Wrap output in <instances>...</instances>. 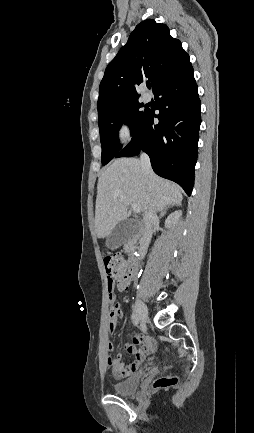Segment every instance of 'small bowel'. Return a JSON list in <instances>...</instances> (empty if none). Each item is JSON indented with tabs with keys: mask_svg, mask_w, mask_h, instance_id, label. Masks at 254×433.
I'll use <instances>...</instances> for the list:
<instances>
[{
	"mask_svg": "<svg viewBox=\"0 0 254 433\" xmlns=\"http://www.w3.org/2000/svg\"><path fill=\"white\" fill-rule=\"evenodd\" d=\"M129 283L124 285H117V289L121 292L128 290ZM109 300L112 303L109 317V332L114 333L117 323L121 318V308L118 303H115L114 286L109 290ZM131 343L125 345V349L129 354L133 356V360L129 363L122 361V355L120 353L113 354L115 346L109 342L107 349L109 355L107 357V364L111 368L112 374L116 379L127 378L137 372L141 363L153 350L152 342L145 336L133 332L131 333Z\"/></svg>",
	"mask_w": 254,
	"mask_h": 433,
	"instance_id": "obj_1",
	"label": "small bowel"
}]
</instances>
